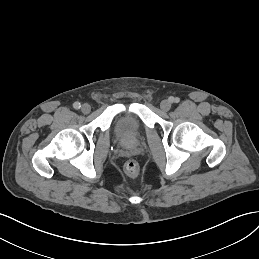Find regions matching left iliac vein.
Returning a JSON list of instances; mask_svg holds the SVG:
<instances>
[{"instance_id":"left-iliac-vein-1","label":"left iliac vein","mask_w":259,"mask_h":259,"mask_svg":"<svg viewBox=\"0 0 259 259\" xmlns=\"http://www.w3.org/2000/svg\"><path fill=\"white\" fill-rule=\"evenodd\" d=\"M160 108L163 110V111H168L170 108H171V102L169 100H163L161 103H160Z\"/></svg>"}]
</instances>
